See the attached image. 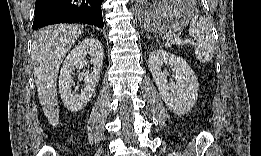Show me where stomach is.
<instances>
[{"instance_id":"0dacf381","label":"stomach","mask_w":261,"mask_h":156,"mask_svg":"<svg viewBox=\"0 0 261 156\" xmlns=\"http://www.w3.org/2000/svg\"><path fill=\"white\" fill-rule=\"evenodd\" d=\"M193 16V9L186 3L174 5L163 2H141L138 17L148 31L159 34L183 29Z\"/></svg>"}]
</instances>
